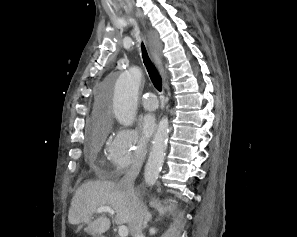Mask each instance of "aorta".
Instances as JSON below:
<instances>
[{"label": "aorta", "instance_id": "1", "mask_svg": "<svg viewBox=\"0 0 297 237\" xmlns=\"http://www.w3.org/2000/svg\"><path fill=\"white\" fill-rule=\"evenodd\" d=\"M142 71L132 67L123 72L117 79L113 97V112L117 121L124 125H132L137 113V99ZM168 138V119L163 118L154 136L153 146L146 164L144 178L148 186H153L163 166Z\"/></svg>", "mask_w": 297, "mask_h": 237}]
</instances>
